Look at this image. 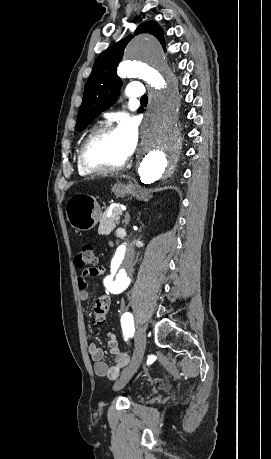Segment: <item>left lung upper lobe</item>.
I'll return each instance as SVG.
<instances>
[{
    "label": "left lung upper lobe",
    "mask_w": 271,
    "mask_h": 459,
    "mask_svg": "<svg viewBox=\"0 0 271 459\" xmlns=\"http://www.w3.org/2000/svg\"><path fill=\"white\" fill-rule=\"evenodd\" d=\"M140 33H149L155 36L162 44L163 49L166 50L163 31L155 21L141 24L134 34ZM132 37L130 35L115 43L95 60L92 72L85 84L83 101L78 111L76 121L78 131L84 130L97 115L117 100L122 82L116 75V69L123 57L124 49Z\"/></svg>",
    "instance_id": "left-lung-upper-lobe-1"
}]
</instances>
